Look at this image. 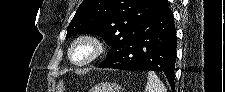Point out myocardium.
I'll use <instances>...</instances> for the list:
<instances>
[{
    "label": "myocardium",
    "mask_w": 225,
    "mask_h": 92,
    "mask_svg": "<svg viewBox=\"0 0 225 92\" xmlns=\"http://www.w3.org/2000/svg\"><path fill=\"white\" fill-rule=\"evenodd\" d=\"M79 45H86L90 47L91 53L85 59L76 60L74 58V50ZM104 52V43L100 38L95 35L85 34L77 37L70 45L68 49L69 61L78 67L87 66L97 60Z\"/></svg>",
    "instance_id": "f54148a6"
}]
</instances>
